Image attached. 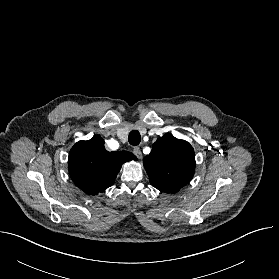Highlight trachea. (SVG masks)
<instances>
[{"instance_id": "1", "label": "trachea", "mask_w": 279, "mask_h": 279, "mask_svg": "<svg viewBox=\"0 0 279 279\" xmlns=\"http://www.w3.org/2000/svg\"><path fill=\"white\" fill-rule=\"evenodd\" d=\"M128 141L131 145L137 146L141 141L140 133L137 130H133L129 133Z\"/></svg>"}]
</instances>
